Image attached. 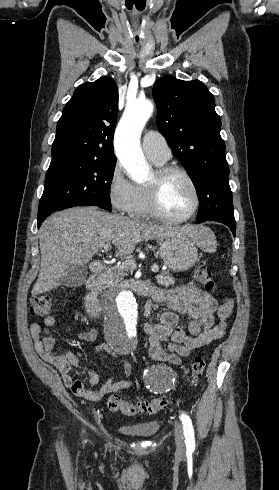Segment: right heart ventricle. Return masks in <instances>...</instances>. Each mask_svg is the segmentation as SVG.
Wrapping results in <instances>:
<instances>
[{
	"label": "right heart ventricle",
	"instance_id": "obj_1",
	"mask_svg": "<svg viewBox=\"0 0 279 490\" xmlns=\"http://www.w3.org/2000/svg\"><path fill=\"white\" fill-rule=\"evenodd\" d=\"M161 165V164H160ZM140 196H141V207L136 216L138 217H148L151 216V210L149 205V189L148 186H139L138 187Z\"/></svg>",
	"mask_w": 279,
	"mask_h": 490
}]
</instances>
